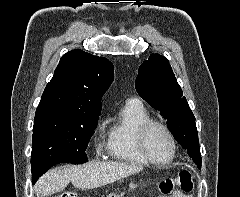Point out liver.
Instances as JSON below:
<instances>
[{"label": "liver", "instance_id": "6515ba94", "mask_svg": "<svg viewBox=\"0 0 240 197\" xmlns=\"http://www.w3.org/2000/svg\"><path fill=\"white\" fill-rule=\"evenodd\" d=\"M143 167L135 164L117 162H89L83 165H67L51 169L35 184L38 197L61 192L72 182L74 187L93 189L113 183L140 172Z\"/></svg>", "mask_w": 240, "mask_h": 197}]
</instances>
